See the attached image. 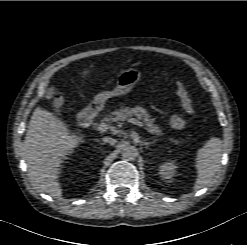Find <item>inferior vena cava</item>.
Wrapping results in <instances>:
<instances>
[{
    "label": "inferior vena cava",
    "instance_id": "1",
    "mask_svg": "<svg viewBox=\"0 0 247 245\" xmlns=\"http://www.w3.org/2000/svg\"><path fill=\"white\" fill-rule=\"evenodd\" d=\"M103 141H104L105 143L110 144V145H114V144H116V142H117L115 139H113V138H111V137H105V138H103Z\"/></svg>",
    "mask_w": 247,
    "mask_h": 245
}]
</instances>
